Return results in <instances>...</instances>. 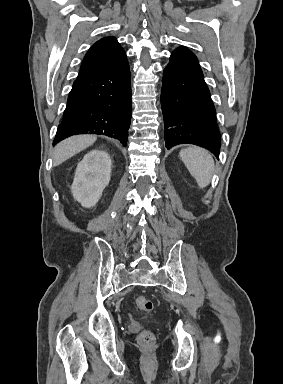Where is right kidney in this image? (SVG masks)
I'll return each mask as SVG.
<instances>
[{"label": "right kidney", "mask_w": 283, "mask_h": 384, "mask_svg": "<svg viewBox=\"0 0 283 384\" xmlns=\"http://www.w3.org/2000/svg\"><path fill=\"white\" fill-rule=\"evenodd\" d=\"M111 160L107 152L91 150L79 162L71 186L73 198L84 206L92 208L102 196L110 182Z\"/></svg>", "instance_id": "ca27d5eb"}]
</instances>
